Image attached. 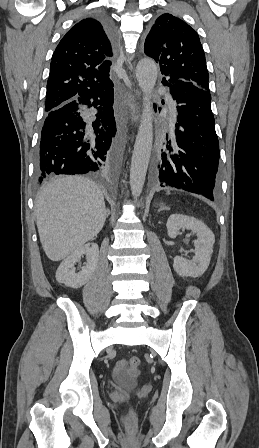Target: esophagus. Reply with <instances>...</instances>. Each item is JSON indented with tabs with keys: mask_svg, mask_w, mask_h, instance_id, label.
<instances>
[{
	"mask_svg": "<svg viewBox=\"0 0 259 448\" xmlns=\"http://www.w3.org/2000/svg\"><path fill=\"white\" fill-rule=\"evenodd\" d=\"M126 98H127V105H128L129 112H130V118L132 121L138 122L140 114H139V110L137 107L138 103L136 101V97L131 91H128Z\"/></svg>",
	"mask_w": 259,
	"mask_h": 448,
	"instance_id": "34e87169",
	"label": "esophagus"
}]
</instances>
